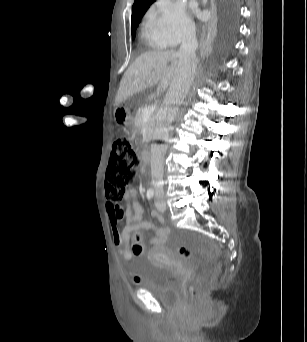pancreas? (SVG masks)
<instances>
[{
  "instance_id": "cf45deb5",
  "label": "pancreas",
  "mask_w": 307,
  "mask_h": 342,
  "mask_svg": "<svg viewBox=\"0 0 307 342\" xmlns=\"http://www.w3.org/2000/svg\"><path fill=\"white\" fill-rule=\"evenodd\" d=\"M155 120H156V116H151L149 118V122H144V116L142 114V108H141V110H139V112H137L135 116L134 124L136 128H153V122H155ZM152 134L153 132H149V130H147L148 138H152Z\"/></svg>"
}]
</instances>
